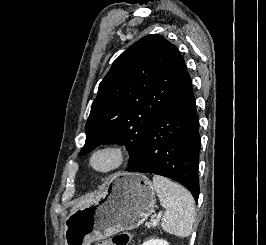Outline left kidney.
I'll list each match as a JSON object with an SVG mask.
<instances>
[{"mask_svg":"<svg viewBox=\"0 0 266 245\" xmlns=\"http://www.w3.org/2000/svg\"><path fill=\"white\" fill-rule=\"evenodd\" d=\"M143 245H169V243L163 239H148V241H144Z\"/></svg>","mask_w":266,"mask_h":245,"instance_id":"1","label":"left kidney"}]
</instances>
